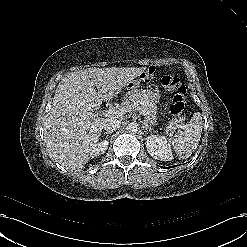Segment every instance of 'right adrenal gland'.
I'll list each match as a JSON object with an SVG mask.
<instances>
[{"mask_svg": "<svg viewBox=\"0 0 247 247\" xmlns=\"http://www.w3.org/2000/svg\"><path fill=\"white\" fill-rule=\"evenodd\" d=\"M104 134H107V137H108L111 133L105 132Z\"/></svg>", "mask_w": 247, "mask_h": 247, "instance_id": "right-adrenal-gland-1", "label": "right adrenal gland"}]
</instances>
